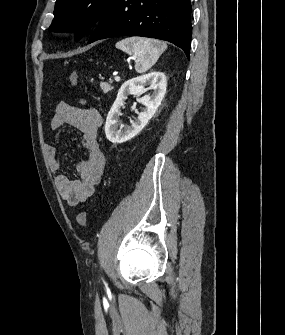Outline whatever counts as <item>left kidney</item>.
Returning a JSON list of instances; mask_svg holds the SVG:
<instances>
[{"label": "left kidney", "mask_w": 285, "mask_h": 335, "mask_svg": "<svg viewBox=\"0 0 285 335\" xmlns=\"http://www.w3.org/2000/svg\"><path fill=\"white\" fill-rule=\"evenodd\" d=\"M145 86H150L151 90H154L151 96H144V98H139L141 94H144L146 88ZM167 88V80L163 72H150V74H145V76H137V78H132V80H127L125 84H122L117 98L106 118L105 124V134L107 140L112 142V144H123V142H128L134 136H137L149 120L153 118L157 108H159ZM133 94L136 98V102L143 104L145 106L143 112H139L138 120L132 122L130 128H120L117 130L119 124V116H121V108L124 104V100H127V96Z\"/></svg>", "instance_id": "1"}]
</instances>
